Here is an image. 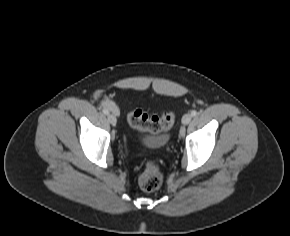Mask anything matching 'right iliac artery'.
Masks as SVG:
<instances>
[{
  "label": "right iliac artery",
  "mask_w": 290,
  "mask_h": 236,
  "mask_svg": "<svg viewBox=\"0 0 290 236\" xmlns=\"http://www.w3.org/2000/svg\"><path fill=\"white\" fill-rule=\"evenodd\" d=\"M102 112H103L105 115H108V114H109V111H108V109H106V108H103Z\"/></svg>",
  "instance_id": "obj_1"
}]
</instances>
